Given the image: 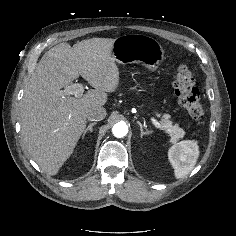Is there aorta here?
<instances>
[{
	"label": "aorta",
	"mask_w": 236,
	"mask_h": 236,
	"mask_svg": "<svg viewBox=\"0 0 236 236\" xmlns=\"http://www.w3.org/2000/svg\"><path fill=\"white\" fill-rule=\"evenodd\" d=\"M113 135L122 138L128 133V126L124 122L116 123L112 128Z\"/></svg>",
	"instance_id": "aorta-1"
}]
</instances>
